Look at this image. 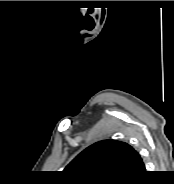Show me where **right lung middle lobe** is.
Segmentation results:
<instances>
[{
  "label": "right lung middle lobe",
  "mask_w": 174,
  "mask_h": 184,
  "mask_svg": "<svg viewBox=\"0 0 174 184\" xmlns=\"http://www.w3.org/2000/svg\"><path fill=\"white\" fill-rule=\"evenodd\" d=\"M123 183V182H122ZM87 184H108L103 182H87ZM110 184V183H109Z\"/></svg>",
  "instance_id": "1"
}]
</instances>
